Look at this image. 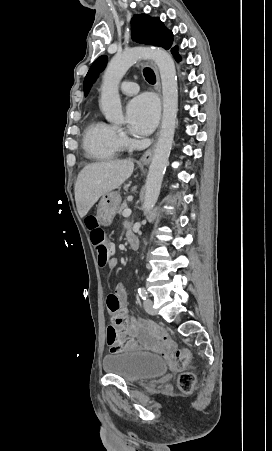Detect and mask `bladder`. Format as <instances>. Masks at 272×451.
<instances>
[{
    "label": "bladder",
    "instance_id": "obj_1",
    "mask_svg": "<svg viewBox=\"0 0 272 451\" xmlns=\"http://www.w3.org/2000/svg\"><path fill=\"white\" fill-rule=\"evenodd\" d=\"M103 367L107 374L119 376L130 383L163 375L168 363L158 354L120 350L106 354Z\"/></svg>",
    "mask_w": 272,
    "mask_h": 451
}]
</instances>
